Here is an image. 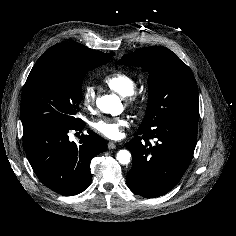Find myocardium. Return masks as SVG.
<instances>
[{
    "mask_svg": "<svg viewBox=\"0 0 236 236\" xmlns=\"http://www.w3.org/2000/svg\"><path fill=\"white\" fill-rule=\"evenodd\" d=\"M144 94L141 91H133L131 94L126 96V101L131 106H140L144 101Z\"/></svg>",
    "mask_w": 236,
    "mask_h": 236,
    "instance_id": "f54148a6",
    "label": "myocardium"
}]
</instances>
